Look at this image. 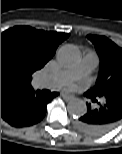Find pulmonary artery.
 <instances>
[{
    "label": "pulmonary artery",
    "mask_w": 122,
    "mask_h": 154,
    "mask_svg": "<svg viewBox=\"0 0 122 154\" xmlns=\"http://www.w3.org/2000/svg\"><path fill=\"white\" fill-rule=\"evenodd\" d=\"M99 64V57L94 52H86L74 67L39 78L40 88H60L73 80L88 76Z\"/></svg>",
    "instance_id": "1"
}]
</instances>
